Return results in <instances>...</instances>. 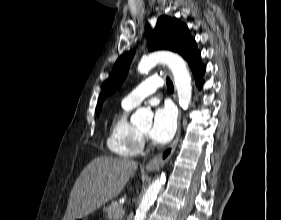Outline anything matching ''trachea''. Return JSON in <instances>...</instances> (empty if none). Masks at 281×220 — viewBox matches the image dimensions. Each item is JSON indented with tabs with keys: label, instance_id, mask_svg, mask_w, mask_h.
I'll return each instance as SVG.
<instances>
[{
	"label": "trachea",
	"instance_id": "trachea-1",
	"mask_svg": "<svg viewBox=\"0 0 281 220\" xmlns=\"http://www.w3.org/2000/svg\"><path fill=\"white\" fill-rule=\"evenodd\" d=\"M166 83H167V89H168V91H169V92H173V90H174L173 84H172V82L170 81L169 78H167Z\"/></svg>",
	"mask_w": 281,
	"mask_h": 220
}]
</instances>
